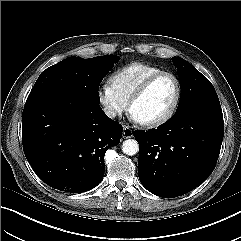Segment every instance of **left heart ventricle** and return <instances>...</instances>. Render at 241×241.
<instances>
[{"mask_svg":"<svg viewBox=\"0 0 241 241\" xmlns=\"http://www.w3.org/2000/svg\"><path fill=\"white\" fill-rule=\"evenodd\" d=\"M176 94V85L171 77L156 80L146 94L134 105L133 117L140 122H149L163 116L171 107Z\"/></svg>","mask_w":241,"mask_h":241,"instance_id":"1","label":"left heart ventricle"}]
</instances>
